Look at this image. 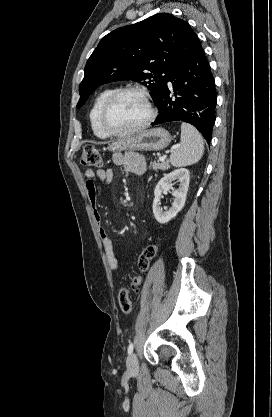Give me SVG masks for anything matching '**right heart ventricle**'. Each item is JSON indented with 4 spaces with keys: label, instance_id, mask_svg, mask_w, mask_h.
Masks as SVG:
<instances>
[{
    "label": "right heart ventricle",
    "instance_id": "right-heart-ventricle-1",
    "mask_svg": "<svg viewBox=\"0 0 272 417\" xmlns=\"http://www.w3.org/2000/svg\"><path fill=\"white\" fill-rule=\"evenodd\" d=\"M113 91L114 90L112 88H107V89L102 90L95 97L92 107L90 109V113H89V120H90L92 131L98 138H101V139H105L108 136L103 132V130L100 127L99 114H100V110H101L103 103Z\"/></svg>",
    "mask_w": 272,
    "mask_h": 417
}]
</instances>
